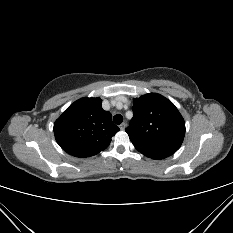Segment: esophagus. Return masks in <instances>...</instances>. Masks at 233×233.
<instances>
[{
	"label": "esophagus",
	"instance_id": "34e87169",
	"mask_svg": "<svg viewBox=\"0 0 233 233\" xmlns=\"http://www.w3.org/2000/svg\"><path fill=\"white\" fill-rule=\"evenodd\" d=\"M126 123L125 122H123V123H121L120 125H119V128H120V130H124L125 128H126Z\"/></svg>",
	"mask_w": 233,
	"mask_h": 233
}]
</instances>
